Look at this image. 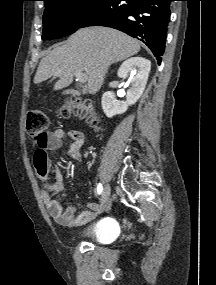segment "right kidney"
Returning <instances> with one entry per match:
<instances>
[{"label": "right kidney", "instance_id": "ca27d5eb", "mask_svg": "<svg viewBox=\"0 0 216 285\" xmlns=\"http://www.w3.org/2000/svg\"><path fill=\"white\" fill-rule=\"evenodd\" d=\"M151 62L143 57H132L122 63L118 70L120 78L129 79L130 88L127 91L126 101L116 100L111 91H107L102 96V108L108 118L117 114H123L128 106L135 104L143 94L147 84Z\"/></svg>", "mask_w": 216, "mask_h": 285}]
</instances>
